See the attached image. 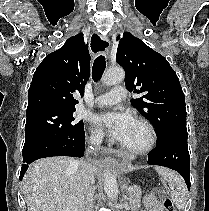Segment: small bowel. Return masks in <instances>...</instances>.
<instances>
[{
	"label": "small bowel",
	"instance_id": "1",
	"mask_svg": "<svg viewBox=\"0 0 209 211\" xmlns=\"http://www.w3.org/2000/svg\"><path fill=\"white\" fill-rule=\"evenodd\" d=\"M165 192L163 189H156L148 194L144 199V209L142 211H163V201Z\"/></svg>",
	"mask_w": 209,
	"mask_h": 211
}]
</instances>
